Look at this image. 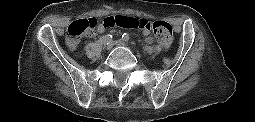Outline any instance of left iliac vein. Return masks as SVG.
<instances>
[{"mask_svg":"<svg viewBox=\"0 0 255 122\" xmlns=\"http://www.w3.org/2000/svg\"><path fill=\"white\" fill-rule=\"evenodd\" d=\"M114 45L119 46V47H127V45L121 40L114 41Z\"/></svg>","mask_w":255,"mask_h":122,"instance_id":"obj_1","label":"left iliac vein"}]
</instances>
